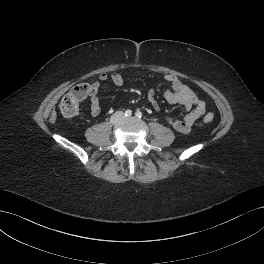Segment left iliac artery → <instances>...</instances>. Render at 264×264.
I'll return each instance as SVG.
<instances>
[{
  "label": "left iliac artery",
  "mask_w": 264,
  "mask_h": 264,
  "mask_svg": "<svg viewBox=\"0 0 264 264\" xmlns=\"http://www.w3.org/2000/svg\"><path fill=\"white\" fill-rule=\"evenodd\" d=\"M136 116H137L138 118H141V117H142V113H141L140 111H137V112H136Z\"/></svg>",
  "instance_id": "obj_1"
}]
</instances>
